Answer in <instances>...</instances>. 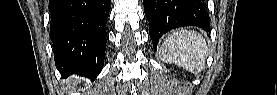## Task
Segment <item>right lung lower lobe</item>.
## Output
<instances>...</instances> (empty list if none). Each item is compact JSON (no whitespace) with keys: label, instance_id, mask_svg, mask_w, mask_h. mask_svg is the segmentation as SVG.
<instances>
[{"label":"right lung lower lobe","instance_id":"1","mask_svg":"<svg viewBox=\"0 0 277 95\" xmlns=\"http://www.w3.org/2000/svg\"><path fill=\"white\" fill-rule=\"evenodd\" d=\"M110 0H50V37L62 77L95 79L104 65Z\"/></svg>","mask_w":277,"mask_h":95}]
</instances>
